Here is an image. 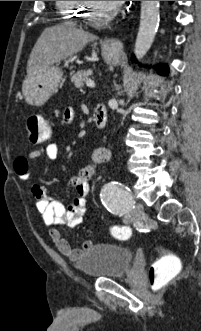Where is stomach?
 <instances>
[{
  "mask_svg": "<svg viewBox=\"0 0 201 331\" xmlns=\"http://www.w3.org/2000/svg\"><path fill=\"white\" fill-rule=\"evenodd\" d=\"M104 59L116 65L120 62L119 53L107 47L102 48ZM62 71L58 65H50L39 72L27 76L22 85V92L29 104L41 106L55 93L62 80Z\"/></svg>",
  "mask_w": 201,
  "mask_h": 331,
  "instance_id": "obj_1",
  "label": "stomach"
}]
</instances>
